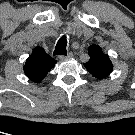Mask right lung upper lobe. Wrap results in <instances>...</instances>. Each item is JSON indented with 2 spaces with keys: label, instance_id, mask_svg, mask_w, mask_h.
Masks as SVG:
<instances>
[{
  "label": "right lung upper lobe",
  "instance_id": "1",
  "mask_svg": "<svg viewBox=\"0 0 135 135\" xmlns=\"http://www.w3.org/2000/svg\"><path fill=\"white\" fill-rule=\"evenodd\" d=\"M56 62L42 47H36L26 60L24 73L31 81L38 83L44 79Z\"/></svg>",
  "mask_w": 135,
  "mask_h": 135
}]
</instances>
